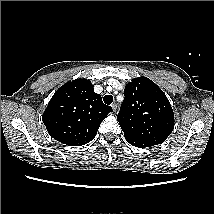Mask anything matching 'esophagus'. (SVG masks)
I'll return each instance as SVG.
<instances>
[{"instance_id":"esophagus-1","label":"esophagus","mask_w":214,"mask_h":214,"mask_svg":"<svg viewBox=\"0 0 214 214\" xmlns=\"http://www.w3.org/2000/svg\"><path fill=\"white\" fill-rule=\"evenodd\" d=\"M111 107H112L113 111L116 112V110H117V104H116V103H113V104L111 105Z\"/></svg>"}]
</instances>
